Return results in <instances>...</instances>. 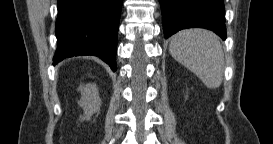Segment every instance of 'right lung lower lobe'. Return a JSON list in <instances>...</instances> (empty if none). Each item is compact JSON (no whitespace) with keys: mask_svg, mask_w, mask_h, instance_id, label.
I'll use <instances>...</instances> for the list:
<instances>
[{"mask_svg":"<svg viewBox=\"0 0 273 144\" xmlns=\"http://www.w3.org/2000/svg\"><path fill=\"white\" fill-rule=\"evenodd\" d=\"M122 1L58 0L53 64L72 56L95 55L115 71Z\"/></svg>","mask_w":273,"mask_h":144,"instance_id":"98d812e1","label":"right lung lower lobe"}]
</instances>
